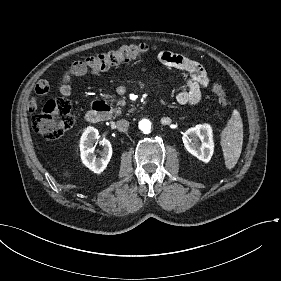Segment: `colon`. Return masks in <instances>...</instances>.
Masks as SVG:
<instances>
[{
  "mask_svg": "<svg viewBox=\"0 0 281 281\" xmlns=\"http://www.w3.org/2000/svg\"><path fill=\"white\" fill-rule=\"evenodd\" d=\"M150 50L148 44L124 45L114 51L105 52L77 61L74 64L75 72L81 73L85 66L92 73H98L114 66L141 58ZM213 91L221 106H228L230 101L221 84H215ZM74 123L70 103L62 97H54L49 100L42 110L35 114L32 125L35 131L46 140L59 139Z\"/></svg>",
  "mask_w": 281,
  "mask_h": 281,
  "instance_id": "5ec220e1",
  "label": "colon"
}]
</instances>
